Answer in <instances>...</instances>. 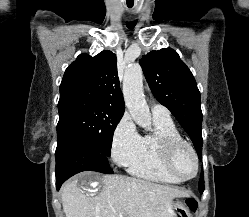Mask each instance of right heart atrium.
<instances>
[{
	"label": "right heart atrium",
	"mask_w": 249,
	"mask_h": 217,
	"mask_svg": "<svg viewBox=\"0 0 249 217\" xmlns=\"http://www.w3.org/2000/svg\"><path fill=\"white\" fill-rule=\"evenodd\" d=\"M140 139L131 117L123 115L116 124L111 139V155L117 166H129L139 148Z\"/></svg>",
	"instance_id": "right-heart-atrium-1"
}]
</instances>
